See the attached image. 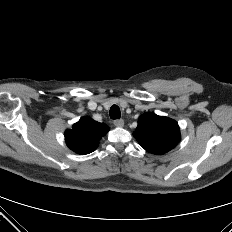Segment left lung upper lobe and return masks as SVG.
Wrapping results in <instances>:
<instances>
[{
	"mask_svg": "<svg viewBox=\"0 0 232 232\" xmlns=\"http://www.w3.org/2000/svg\"><path fill=\"white\" fill-rule=\"evenodd\" d=\"M133 135L141 147L153 154H164L180 141L178 124L170 118L154 113L140 116Z\"/></svg>",
	"mask_w": 232,
	"mask_h": 232,
	"instance_id": "obj_1",
	"label": "left lung upper lobe"
}]
</instances>
